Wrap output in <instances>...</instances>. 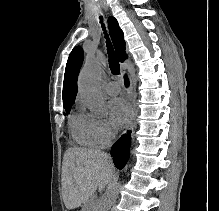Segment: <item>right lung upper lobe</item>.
I'll return each instance as SVG.
<instances>
[{
	"mask_svg": "<svg viewBox=\"0 0 219 211\" xmlns=\"http://www.w3.org/2000/svg\"><path fill=\"white\" fill-rule=\"evenodd\" d=\"M108 26L111 38L120 62H123L127 55L125 52V41L123 32L119 28L118 22L114 17H109ZM84 58L81 47H75L69 55L63 84V105L73 104L77 94V78L82 61Z\"/></svg>",
	"mask_w": 219,
	"mask_h": 211,
	"instance_id": "cb5924a9",
	"label": "right lung upper lobe"
}]
</instances>
